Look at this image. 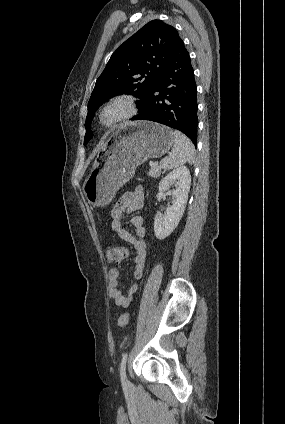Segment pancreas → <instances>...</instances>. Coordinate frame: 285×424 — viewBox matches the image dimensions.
<instances>
[{"mask_svg":"<svg viewBox=\"0 0 285 424\" xmlns=\"http://www.w3.org/2000/svg\"><path fill=\"white\" fill-rule=\"evenodd\" d=\"M160 174H161V167L156 163L153 166H151V169L148 172V175L154 178L159 177Z\"/></svg>","mask_w":285,"mask_h":424,"instance_id":"obj_1","label":"pancreas"}]
</instances>
